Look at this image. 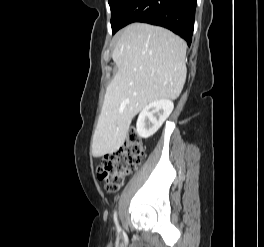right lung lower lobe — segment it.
<instances>
[{
  "label": "right lung lower lobe",
  "instance_id": "1",
  "mask_svg": "<svg viewBox=\"0 0 264 247\" xmlns=\"http://www.w3.org/2000/svg\"><path fill=\"white\" fill-rule=\"evenodd\" d=\"M196 2L197 0H130L118 17L115 32L130 23L144 22L170 29L190 45Z\"/></svg>",
  "mask_w": 264,
  "mask_h": 247
}]
</instances>
